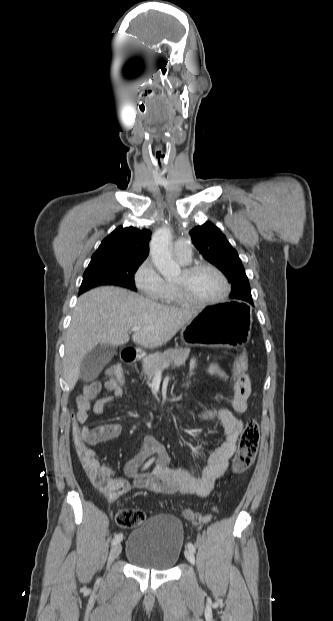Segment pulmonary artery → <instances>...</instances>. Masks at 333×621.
<instances>
[{
	"label": "pulmonary artery",
	"instance_id": "obj_1",
	"mask_svg": "<svg viewBox=\"0 0 333 621\" xmlns=\"http://www.w3.org/2000/svg\"><path fill=\"white\" fill-rule=\"evenodd\" d=\"M173 252L175 257L182 263H188L192 258L191 244L187 239L177 240L174 244Z\"/></svg>",
	"mask_w": 333,
	"mask_h": 621
}]
</instances>
